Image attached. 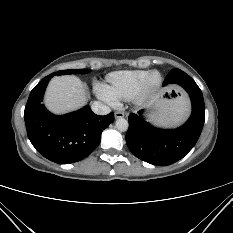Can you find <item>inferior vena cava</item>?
Wrapping results in <instances>:
<instances>
[{
  "label": "inferior vena cava",
  "mask_w": 233,
  "mask_h": 233,
  "mask_svg": "<svg viewBox=\"0 0 233 233\" xmlns=\"http://www.w3.org/2000/svg\"><path fill=\"white\" fill-rule=\"evenodd\" d=\"M92 111L97 115H107L110 113V108L101 102L95 101L91 106Z\"/></svg>",
  "instance_id": "obj_1"
}]
</instances>
